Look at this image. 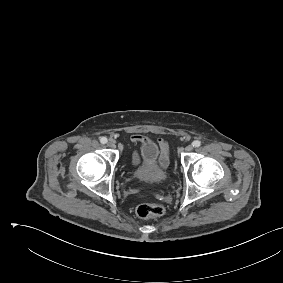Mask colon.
<instances>
[{"mask_svg": "<svg viewBox=\"0 0 283 283\" xmlns=\"http://www.w3.org/2000/svg\"><path fill=\"white\" fill-rule=\"evenodd\" d=\"M165 213L164 206L154 203H143L140 204L136 209L138 217L146 219L162 216Z\"/></svg>", "mask_w": 283, "mask_h": 283, "instance_id": "5ec220e1", "label": "colon"}]
</instances>
